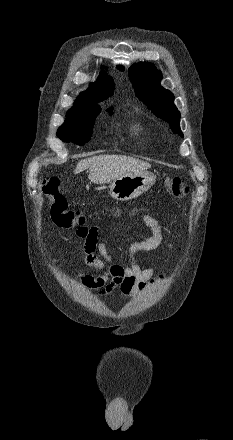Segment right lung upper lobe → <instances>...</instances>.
<instances>
[{"instance_id":"obj_1","label":"right lung upper lobe","mask_w":233,"mask_h":440,"mask_svg":"<svg viewBox=\"0 0 233 440\" xmlns=\"http://www.w3.org/2000/svg\"><path fill=\"white\" fill-rule=\"evenodd\" d=\"M121 71L122 66H118ZM113 81L110 77L103 75L96 82L91 83L87 91L82 92L74 103L73 108H100L97 102L104 100L113 94ZM108 110H113V107Z\"/></svg>"}]
</instances>
